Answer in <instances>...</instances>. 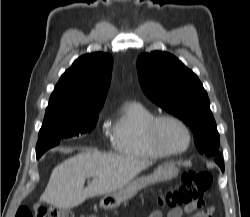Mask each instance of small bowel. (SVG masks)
<instances>
[{
  "label": "small bowel",
  "instance_id": "c3829d8e",
  "mask_svg": "<svg viewBox=\"0 0 250 217\" xmlns=\"http://www.w3.org/2000/svg\"><path fill=\"white\" fill-rule=\"evenodd\" d=\"M188 213L191 215V217H210V214L207 212H200L199 208L196 206H187L185 209L181 208H174L172 209L167 217H182L183 213ZM164 214L160 210H155L150 213L149 217H163Z\"/></svg>",
  "mask_w": 250,
  "mask_h": 217
}]
</instances>
